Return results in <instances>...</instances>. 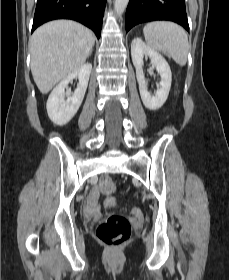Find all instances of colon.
<instances>
[{"label": "colon", "instance_id": "5ec220e1", "mask_svg": "<svg viewBox=\"0 0 229 280\" xmlns=\"http://www.w3.org/2000/svg\"><path fill=\"white\" fill-rule=\"evenodd\" d=\"M101 187L106 192L113 191L116 187L115 182L106 177L101 181ZM133 214L140 216L141 210L133 209ZM96 235L98 240L109 248L122 246L131 235V226L127 218L120 215H110L102 217L99 221Z\"/></svg>", "mask_w": 229, "mask_h": 280}]
</instances>
